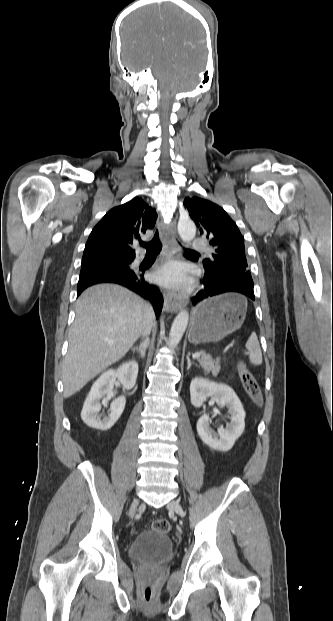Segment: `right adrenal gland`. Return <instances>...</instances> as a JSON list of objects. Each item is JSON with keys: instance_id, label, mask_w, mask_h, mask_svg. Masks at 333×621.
<instances>
[{"instance_id": "obj_1", "label": "right adrenal gland", "mask_w": 333, "mask_h": 621, "mask_svg": "<svg viewBox=\"0 0 333 621\" xmlns=\"http://www.w3.org/2000/svg\"><path fill=\"white\" fill-rule=\"evenodd\" d=\"M148 347H149V340L145 339V341L142 344H140L139 347L138 346L132 347L131 350L132 352H138L141 358H145L146 350L148 349Z\"/></svg>"}]
</instances>
